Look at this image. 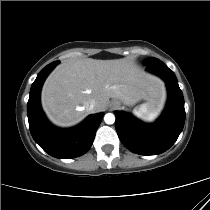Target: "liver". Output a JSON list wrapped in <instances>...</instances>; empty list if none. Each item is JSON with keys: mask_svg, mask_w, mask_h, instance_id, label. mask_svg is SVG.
<instances>
[{"mask_svg": "<svg viewBox=\"0 0 210 210\" xmlns=\"http://www.w3.org/2000/svg\"><path fill=\"white\" fill-rule=\"evenodd\" d=\"M164 97L163 82L131 61L88 58L59 65L43 85L41 102L54 124L67 127L105 110L110 98L133 105L140 100L162 104ZM91 100L93 111L87 109Z\"/></svg>", "mask_w": 210, "mask_h": 210, "instance_id": "liver-1", "label": "liver"}]
</instances>
